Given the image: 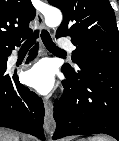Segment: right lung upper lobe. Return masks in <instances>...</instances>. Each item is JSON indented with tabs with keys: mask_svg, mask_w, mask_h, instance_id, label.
<instances>
[{
	"mask_svg": "<svg viewBox=\"0 0 119 141\" xmlns=\"http://www.w3.org/2000/svg\"><path fill=\"white\" fill-rule=\"evenodd\" d=\"M35 15L31 0H0V57L31 34L28 24Z\"/></svg>",
	"mask_w": 119,
	"mask_h": 141,
	"instance_id": "1",
	"label": "right lung upper lobe"
}]
</instances>
